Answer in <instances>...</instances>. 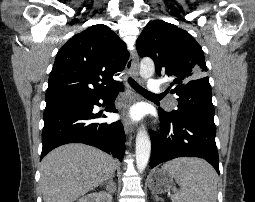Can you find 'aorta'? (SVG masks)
I'll return each mask as SVG.
<instances>
[{"label": "aorta", "mask_w": 255, "mask_h": 202, "mask_svg": "<svg viewBox=\"0 0 255 202\" xmlns=\"http://www.w3.org/2000/svg\"><path fill=\"white\" fill-rule=\"evenodd\" d=\"M155 65L152 59L143 58L140 64L139 74L142 78L148 79L153 76ZM151 153V141L144 126L140 127L136 136V166L142 172L149 161Z\"/></svg>", "instance_id": "aorta-1"}]
</instances>
